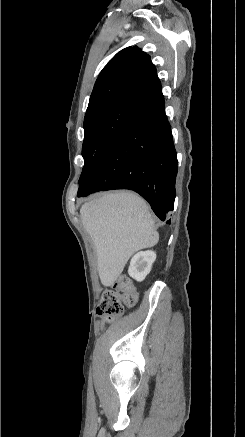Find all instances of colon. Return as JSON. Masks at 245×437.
I'll list each match as a JSON object with an SVG mask.
<instances>
[{"instance_id":"5ec220e1","label":"colon","mask_w":245,"mask_h":437,"mask_svg":"<svg viewBox=\"0 0 245 437\" xmlns=\"http://www.w3.org/2000/svg\"><path fill=\"white\" fill-rule=\"evenodd\" d=\"M137 300L138 292L131 280L122 276L115 282L112 289L103 294L97 313L107 321H112L122 313L124 305L134 306Z\"/></svg>"}]
</instances>
